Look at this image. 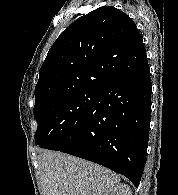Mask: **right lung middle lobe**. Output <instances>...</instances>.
Wrapping results in <instances>:
<instances>
[{
	"label": "right lung middle lobe",
	"instance_id": "right-lung-middle-lobe-1",
	"mask_svg": "<svg viewBox=\"0 0 178 195\" xmlns=\"http://www.w3.org/2000/svg\"><path fill=\"white\" fill-rule=\"evenodd\" d=\"M97 94V90H77L51 97L35 106L33 113L38 124L36 145L55 149L90 110Z\"/></svg>",
	"mask_w": 178,
	"mask_h": 195
}]
</instances>
